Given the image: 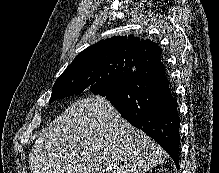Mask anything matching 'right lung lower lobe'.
<instances>
[{"instance_id":"right-lung-lower-lobe-1","label":"right lung lower lobe","mask_w":219,"mask_h":173,"mask_svg":"<svg viewBox=\"0 0 219 173\" xmlns=\"http://www.w3.org/2000/svg\"><path fill=\"white\" fill-rule=\"evenodd\" d=\"M105 98L129 123L158 142L179 169L180 117L161 61L141 63Z\"/></svg>"}]
</instances>
